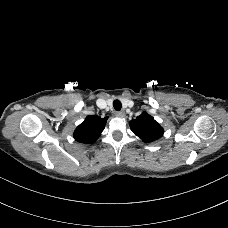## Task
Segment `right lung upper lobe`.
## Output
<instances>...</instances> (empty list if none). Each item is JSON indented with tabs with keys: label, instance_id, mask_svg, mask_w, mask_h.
Here are the masks:
<instances>
[{
	"label": "right lung upper lobe",
	"instance_id": "1",
	"mask_svg": "<svg viewBox=\"0 0 228 228\" xmlns=\"http://www.w3.org/2000/svg\"><path fill=\"white\" fill-rule=\"evenodd\" d=\"M107 119L97 115L87 116L74 131L75 140L85 144L95 142L104 130Z\"/></svg>",
	"mask_w": 228,
	"mask_h": 228
}]
</instances>
